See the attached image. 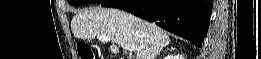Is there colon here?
Masks as SVG:
<instances>
[{
	"label": "colon",
	"mask_w": 261,
	"mask_h": 59,
	"mask_svg": "<svg viewBox=\"0 0 261 59\" xmlns=\"http://www.w3.org/2000/svg\"><path fill=\"white\" fill-rule=\"evenodd\" d=\"M78 55L80 59H95V53L93 52L92 48L84 43L78 44L77 47Z\"/></svg>",
	"instance_id": "1"
}]
</instances>
